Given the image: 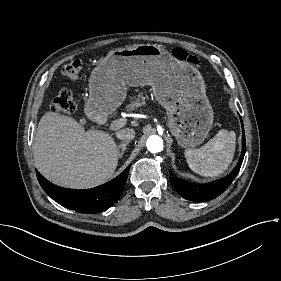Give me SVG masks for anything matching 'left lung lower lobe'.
<instances>
[{"instance_id": "0a47b994", "label": "left lung lower lobe", "mask_w": 281, "mask_h": 281, "mask_svg": "<svg viewBox=\"0 0 281 281\" xmlns=\"http://www.w3.org/2000/svg\"><path fill=\"white\" fill-rule=\"evenodd\" d=\"M245 150H246L245 133L242 123V153H241L240 160L237 163V166L235 167V169L232 171L231 174H229L225 178L207 184L192 183L172 176L170 178V183L182 197L188 200L197 201V202L211 200L219 196L221 193H223L229 187L232 181L235 179V177L237 176L240 170L244 158ZM169 173L172 175L171 171H169Z\"/></svg>"}]
</instances>
